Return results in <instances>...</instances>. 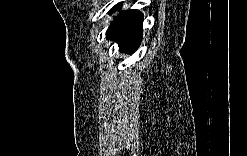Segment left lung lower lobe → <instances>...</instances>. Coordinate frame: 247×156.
<instances>
[{
  "instance_id": "0a47b994",
  "label": "left lung lower lobe",
  "mask_w": 247,
  "mask_h": 156,
  "mask_svg": "<svg viewBox=\"0 0 247 156\" xmlns=\"http://www.w3.org/2000/svg\"><path fill=\"white\" fill-rule=\"evenodd\" d=\"M121 6L122 3L116 4L109 14L119 10ZM142 21L143 14L137 10L121 12L110 25L106 33L107 40L116 41L121 51L133 53L142 40Z\"/></svg>"
}]
</instances>
